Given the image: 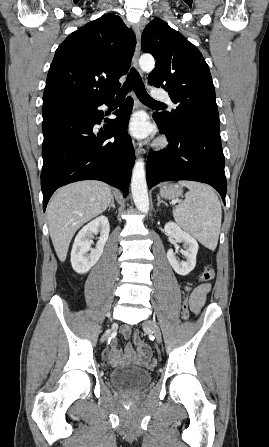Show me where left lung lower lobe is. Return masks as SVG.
Here are the masks:
<instances>
[{
	"instance_id": "left-lung-lower-lobe-1",
	"label": "left lung lower lobe",
	"mask_w": 269,
	"mask_h": 447,
	"mask_svg": "<svg viewBox=\"0 0 269 447\" xmlns=\"http://www.w3.org/2000/svg\"><path fill=\"white\" fill-rule=\"evenodd\" d=\"M153 118L169 141L168 149L148 155L149 189L163 181L192 180L214 187L225 204L227 182L220 133L206 128L167 124L158 113Z\"/></svg>"
}]
</instances>
